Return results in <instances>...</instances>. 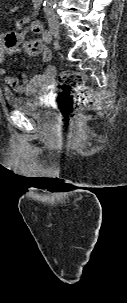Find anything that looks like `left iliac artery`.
<instances>
[{
  "label": "left iliac artery",
  "instance_id": "obj_1",
  "mask_svg": "<svg viewBox=\"0 0 127 303\" xmlns=\"http://www.w3.org/2000/svg\"><path fill=\"white\" fill-rule=\"evenodd\" d=\"M44 6H45V10H47L48 9V3L47 2H44ZM54 7V6H53Z\"/></svg>",
  "mask_w": 127,
  "mask_h": 303
}]
</instances>
